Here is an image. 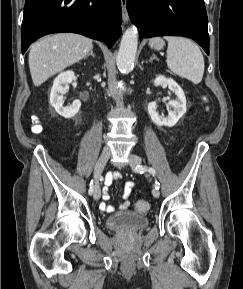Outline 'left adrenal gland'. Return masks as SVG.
<instances>
[{"instance_id":"obj_1","label":"left adrenal gland","mask_w":243,"mask_h":289,"mask_svg":"<svg viewBox=\"0 0 243 289\" xmlns=\"http://www.w3.org/2000/svg\"><path fill=\"white\" fill-rule=\"evenodd\" d=\"M154 59H157L156 55L153 54L151 57H150V60H154Z\"/></svg>"}]
</instances>
